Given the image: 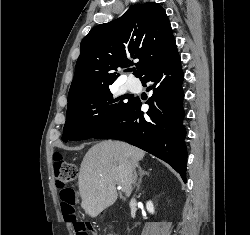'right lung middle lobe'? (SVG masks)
Wrapping results in <instances>:
<instances>
[{"label":"right lung middle lobe","mask_w":250,"mask_h":235,"mask_svg":"<svg viewBox=\"0 0 250 235\" xmlns=\"http://www.w3.org/2000/svg\"><path fill=\"white\" fill-rule=\"evenodd\" d=\"M114 99L109 86L95 90L68 103L66 123L62 140H84L94 138L111 124L131 103Z\"/></svg>","instance_id":"obj_1"}]
</instances>
